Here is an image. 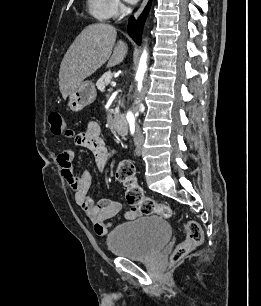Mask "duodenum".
I'll use <instances>...</instances> for the list:
<instances>
[{
    "instance_id": "obj_1",
    "label": "duodenum",
    "mask_w": 261,
    "mask_h": 306,
    "mask_svg": "<svg viewBox=\"0 0 261 306\" xmlns=\"http://www.w3.org/2000/svg\"><path fill=\"white\" fill-rule=\"evenodd\" d=\"M114 129L121 135L128 133V123L121 114H115L112 119Z\"/></svg>"
}]
</instances>
